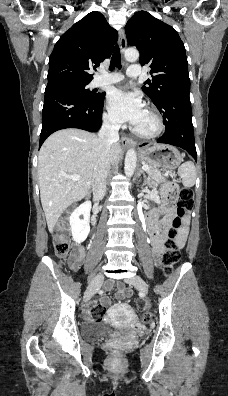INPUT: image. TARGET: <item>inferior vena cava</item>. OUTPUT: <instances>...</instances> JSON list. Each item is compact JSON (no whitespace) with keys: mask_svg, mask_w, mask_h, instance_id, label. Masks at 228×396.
<instances>
[{"mask_svg":"<svg viewBox=\"0 0 228 396\" xmlns=\"http://www.w3.org/2000/svg\"><path fill=\"white\" fill-rule=\"evenodd\" d=\"M120 125L113 120L105 119L98 133L100 152L92 180V190L95 198H101L106 193V178L110 169V148L119 141Z\"/></svg>","mask_w":228,"mask_h":396,"instance_id":"602c4592","label":"inferior vena cava"}]
</instances>
